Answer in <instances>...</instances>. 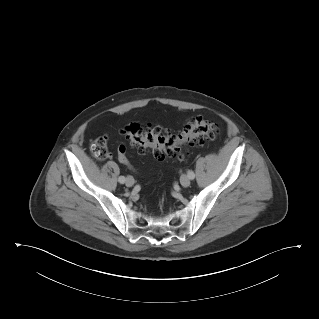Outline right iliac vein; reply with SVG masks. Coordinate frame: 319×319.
Returning <instances> with one entry per match:
<instances>
[{
  "instance_id": "obj_1",
  "label": "right iliac vein",
  "mask_w": 319,
  "mask_h": 319,
  "mask_svg": "<svg viewBox=\"0 0 319 319\" xmlns=\"http://www.w3.org/2000/svg\"><path fill=\"white\" fill-rule=\"evenodd\" d=\"M134 185V179L131 176H128L126 179V186L127 187H132Z\"/></svg>"
}]
</instances>
